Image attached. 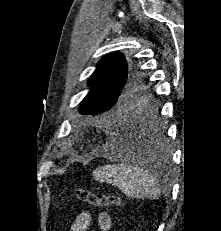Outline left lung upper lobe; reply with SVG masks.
<instances>
[{
    "label": "left lung upper lobe",
    "instance_id": "1",
    "mask_svg": "<svg viewBox=\"0 0 221 231\" xmlns=\"http://www.w3.org/2000/svg\"><path fill=\"white\" fill-rule=\"evenodd\" d=\"M88 85L91 89L80 103L83 115L114 114L130 105H149L154 99L141 71L133 64L128 69L119 52L99 61Z\"/></svg>",
    "mask_w": 221,
    "mask_h": 231
}]
</instances>
